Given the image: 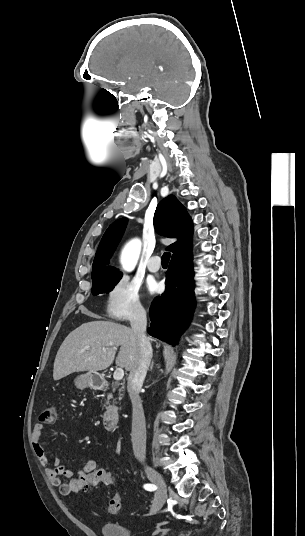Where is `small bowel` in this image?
Returning a JSON list of instances; mask_svg holds the SVG:
<instances>
[{"label":"small bowel","instance_id":"1","mask_svg":"<svg viewBox=\"0 0 305 536\" xmlns=\"http://www.w3.org/2000/svg\"><path fill=\"white\" fill-rule=\"evenodd\" d=\"M43 430L44 427H33L31 439L39 463L52 485L58 488L59 494L63 497H67L73 493L83 492V484L86 479H89L88 471L89 469H93V465L96 461L90 459L77 470L67 467L60 458H55L53 461H50L41 442ZM63 479H67L68 481L65 482Z\"/></svg>","mask_w":305,"mask_h":536}]
</instances>
